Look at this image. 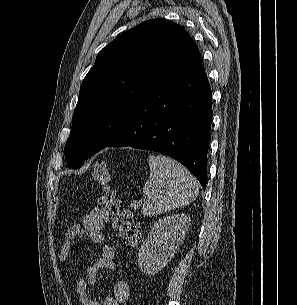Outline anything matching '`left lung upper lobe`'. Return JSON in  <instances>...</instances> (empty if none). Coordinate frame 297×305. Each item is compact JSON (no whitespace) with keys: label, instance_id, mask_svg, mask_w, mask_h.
Returning a JSON list of instances; mask_svg holds the SVG:
<instances>
[{"label":"left lung upper lobe","instance_id":"obj_1","mask_svg":"<svg viewBox=\"0 0 297 305\" xmlns=\"http://www.w3.org/2000/svg\"><path fill=\"white\" fill-rule=\"evenodd\" d=\"M200 69L192 37L167 19H150L117 37L99 52L82 82L65 145L68 165L78 169L107 146L154 87Z\"/></svg>","mask_w":297,"mask_h":305}]
</instances>
